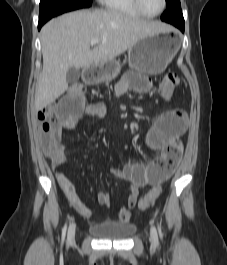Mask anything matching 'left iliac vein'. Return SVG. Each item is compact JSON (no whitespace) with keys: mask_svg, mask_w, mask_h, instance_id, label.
<instances>
[{"mask_svg":"<svg viewBox=\"0 0 227 265\" xmlns=\"http://www.w3.org/2000/svg\"><path fill=\"white\" fill-rule=\"evenodd\" d=\"M150 239L153 244L158 243L157 231L154 226H152L150 229Z\"/></svg>","mask_w":227,"mask_h":265,"instance_id":"4c4485c4","label":"left iliac vein"}]
</instances>
